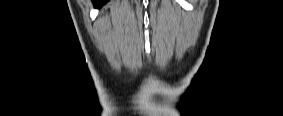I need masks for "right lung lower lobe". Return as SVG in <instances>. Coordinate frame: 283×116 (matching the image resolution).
<instances>
[{
  "instance_id": "right-lung-lower-lobe-1",
  "label": "right lung lower lobe",
  "mask_w": 283,
  "mask_h": 116,
  "mask_svg": "<svg viewBox=\"0 0 283 116\" xmlns=\"http://www.w3.org/2000/svg\"><path fill=\"white\" fill-rule=\"evenodd\" d=\"M108 0H93L94 6L96 8L102 7Z\"/></svg>"
}]
</instances>
